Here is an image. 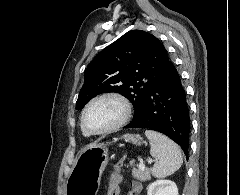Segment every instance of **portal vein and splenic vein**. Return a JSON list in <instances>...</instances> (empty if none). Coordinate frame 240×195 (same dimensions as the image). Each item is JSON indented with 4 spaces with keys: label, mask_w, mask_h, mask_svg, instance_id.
Wrapping results in <instances>:
<instances>
[{
    "label": "portal vein and splenic vein",
    "mask_w": 240,
    "mask_h": 195,
    "mask_svg": "<svg viewBox=\"0 0 240 195\" xmlns=\"http://www.w3.org/2000/svg\"><path fill=\"white\" fill-rule=\"evenodd\" d=\"M152 161H154V159H149L148 163H152ZM139 169H145V163L143 159H140Z\"/></svg>",
    "instance_id": "portal-vein-and-splenic-vein-1"
}]
</instances>
